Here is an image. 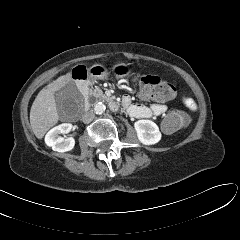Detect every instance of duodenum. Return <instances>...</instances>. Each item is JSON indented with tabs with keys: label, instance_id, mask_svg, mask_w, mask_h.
Wrapping results in <instances>:
<instances>
[{
	"label": "duodenum",
	"instance_id": "410a0bca",
	"mask_svg": "<svg viewBox=\"0 0 240 240\" xmlns=\"http://www.w3.org/2000/svg\"><path fill=\"white\" fill-rule=\"evenodd\" d=\"M77 81V86L79 91L81 92V94L83 95V97L85 98V100L87 101L88 97H89V81L87 79V77H78L76 79ZM110 108L113 111H117L120 108V104L119 102H117L114 99H110L109 102Z\"/></svg>",
	"mask_w": 240,
	"mask_h": 240
}]
</instances>
